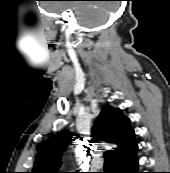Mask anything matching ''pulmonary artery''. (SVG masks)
I'll use <instances>...</instances> for the list:
<instances>
[{
	"mask_svg": "<svg viewBox=\"0 0 170 173\" xmlns=\"http://www.w3.org/2000/svg\"><path fill=\"white\" fill-rule=\"evenodd\" d=\"M104 162L102 159L100 158H93L92 159V165L95 167V168H101L103 166Z\"/></svg>",
	"mask_w": 170,
	"mask_h": 173,
	"instance_id": "obj_1",
	"label": "pulmonary artery"
}]
</instances>
